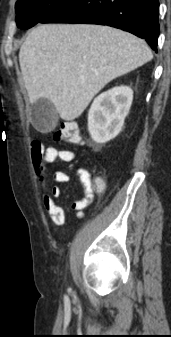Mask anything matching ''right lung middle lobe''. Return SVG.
<instances>
[{
    "mask_svg": "<svg viewBox=\"0 0 171 337\" xmlns=\"http://www.w3.org/2000/svg\"><path fill=\"white\" fill-rule=\"evenodd\" d=\"M67 0H18L16 2V23L19 28L28 29L42 22Z\"/></svg>",
    "mask_w": 171,
    "mask_h": 337,
    "instance_id": "right-lung-middle-lobe-1",
    "label": "right lung middle lobe"
}]
</instances>
